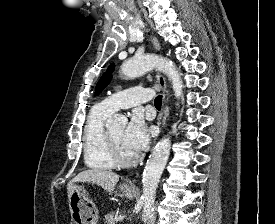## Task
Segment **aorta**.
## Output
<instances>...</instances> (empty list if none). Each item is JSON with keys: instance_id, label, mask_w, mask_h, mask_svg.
<instances>
[{"instance_id": "1", "label": "aorta", "mask_w": 275, "mask_h": 224, "mask_svg": "<svg viewBox=\"0 0 275 224\" xmlns=\"http://www.w3.org/2000/svg\"><path fill=\"white\" fill-rule=\"evenodd\" d=\"M152 69H158L168 76L172 83L174 96L180 98L183 89L181 76L176 67L168 59L155 54H146L133 57L125 61L121 66L122 74L129 78H135ZM126 123L127 118L117 114L108 120L107 126H125ZM170 147L171 141L169 137L161 139L149 156L143 172V192L141 199L143 202V221L145 224L149 223L153 217L155 194L168 161Z\"/></svg>"}]
</instances>
